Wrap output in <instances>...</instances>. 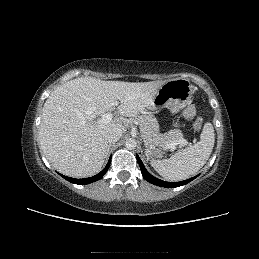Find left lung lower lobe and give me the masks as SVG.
Returning <instances> with one entry per match:
<instances>
[{"label":"left lung lower lobe","mask_w":259,"mask_h":259,"mask_svg":"<svg viewBox=\"0 0 259 259\" xmlns=\"http://www.w3.org/2000/svg\"><path fill=\"white\" fill-rule=\"evenodd\" d=\"M137 161H138V164L140 166V169H141V172H142V175L143 177L150 183L154 184V185H157V186H161V187H166V188H174V187H179V186H182V185H185L187 183H189L190 181H192L193 179H195L197 176L193 177V178H190V179H187L185 181H181V182H166V181H162L158 178H155L154 176H152L147 170L146 168L144 167L141 159L139 158V156L137 155Z\"/></svg>","instance_id":"1"}]
</instances>
